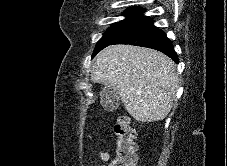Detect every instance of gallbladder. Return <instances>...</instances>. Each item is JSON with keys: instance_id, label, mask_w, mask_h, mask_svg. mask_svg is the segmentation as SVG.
I'll list each match as a JSON object with an SVG mask.
<instances>
[{"instance_id": "1", "label": "gallbladder", "mask_w": 227, "mask_h": 166, "mask_svg": "<svg viewBox=\"0 0 227 166\" xmlns=\"http://www.w3.org/2000/svg\"><path fill=\"white\" fill-rule=\"evenodd\" d=\"M101 106L108 111H112L117 108L119 97L116 90L111 86H105L100 92Z\"/></svg>"}]
</instances>
